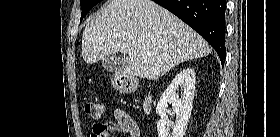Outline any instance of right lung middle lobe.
<instances>
[{"label":"right lung middle lobe","instance_id":"obj_1","mask_svg":"<svg viewBox=\"0 0 280 137\" xmlns=\"http://www.w3.org/2000/svg\"><path fill=\"white\" fill-rule=\"evenodd\" d=\"M102 0H81V9H82V16L80 19V22L82 21L83 17L91 10L92 7H94L97 3H99Z\"/></svg>","mask_w":280,"mask_h":137}]
</instances>
